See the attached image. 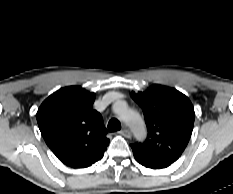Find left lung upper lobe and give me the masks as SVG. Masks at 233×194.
<instances>
[{"mask_svg":"<svg viewBox=\"0 0 233 194\" xmlns=\"http://www.w3.org/2000/svg\"><path fill=\"white\" fill-rule=\"evenodd\" d=\"M131 96L141 106L148 129L145 142L130 145L134 155L175 162L192 134L195 113L191 102L178 90L161 85Z\"/></svg>","mask_w":233,"mask_h":194,"instance_id":"obj_1","label":"left lung upper lobe"}]
</instances>
